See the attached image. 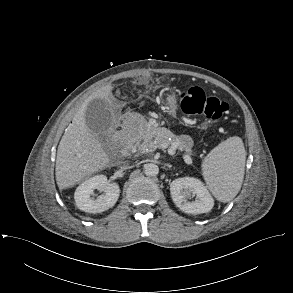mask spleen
<instances>
[{
    "label": "spleen",
    "instance_id": "obj_1",
    "mask_svg": "<svg viewBox=\"0 0 293 293\" xmlns=\"http://www.w3.org/2000/svg\"><path fill=\"white\" fill-rule=\"evenodd\" d=\"M243 141L234 136L213 148L202 163V175L217 200L228 202L239 192L245 168Z\"/></svg>",
    "mask_w": 293,
    "mask_h": 293
}]
</instances>
